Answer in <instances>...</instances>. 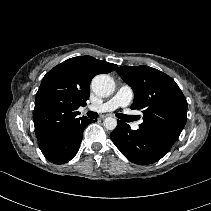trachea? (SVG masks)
Instances as JSON below:
<instances>
[{"mask_svg":"<svg viewBox=\"0 0 211 211\" xmlns=\"http://www.w3.org/2000/svg\"><path fill=\"white\" fill-rule=\"evenodd\" d=\"M87 115H88V117L91 118V119H96V118H98V113H96V112L90 111V112L87 113ZM117 117L120 118V119H122V120H127V121L132 120L131 117H128V116L123 115V114H117Z\"/></svg>","mask_w":211,"mask_h":211,"instance_id":"obj_1","label":"trachea"}]
</instances>
